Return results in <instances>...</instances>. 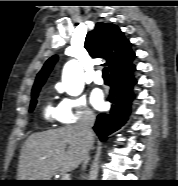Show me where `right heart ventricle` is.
<instances>
[{"mask_svg":"<svg viewBox=\"0 0 178 186\" xmlns=\"http://www.w3.org/2000/svg\"><path fill=\"white\" fill-rule=\"evenodd\" d=\"M43 118L49 123L61 122L58 115V108L53 107L51 103L46 104L44 107Z\"/></svg>","mask_w":178,"mask_h":186,"instance_id":"e07e8e85","label":"right heart ventricle"}]
</instances>
